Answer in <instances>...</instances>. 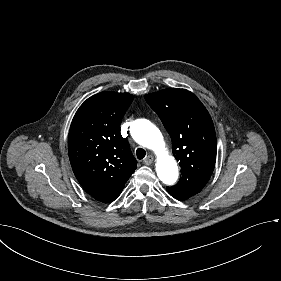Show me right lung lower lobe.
Instances as JSON below:
<instances>
[{
    "label": "right lung lower lobe",
    "instance_id": "98d812e1",
    "mask_svg": "<svg viewBox=\"0 0 281 281\" xmlns=\"http://www.w3.org/2000/svg\"><path fill=\"white\" fill-rule=\"evenodd\" d=\"M122 190H123V189H122ZM122 190L116 192V193H115L113 196H111V197L108 199V201H106V202H111V201L115 200V199L120 195V193H121Z\"/></svg>",
    "mask_w": 281,
    "mask_h": 281
}]
</instances>
